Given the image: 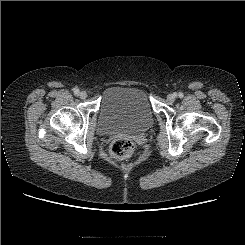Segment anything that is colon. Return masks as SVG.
<instances>
[{
    "label": "colon",
    "instance_id": "obj_1",
    "mask_svg": "<svg viewBox=\"0 0 245 245\" xmlns=\"http://www.w3.org/2000/svg\"><path fill=\"white\" fill-rule=\"evenodd\" d=\"M134 151V143L128 138H118L110 146L111 154L116 158H125Z\"/></svg>",
    "mask_w": 245,
    "mask_h": 245
}]
</instances>
